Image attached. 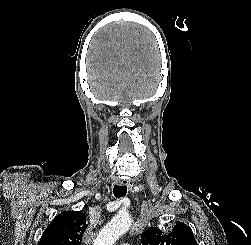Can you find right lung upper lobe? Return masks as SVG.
Here are the masks:
<instances>
[{"label":"right lung upper lobe","instance_id":"cb5924a9","mask_svg":"<svg viewBox=\"0 0 251 245\" xmlns=\"http://www.w3.org/2000/svg\"><path fill=\"white\" fill-rule=\"evenodd\" d=\"M87 227L83 212L64 211L45 229L39 245H81Z\"/></svg>","mask_w":251,"mask_h":245}]
</instances>
